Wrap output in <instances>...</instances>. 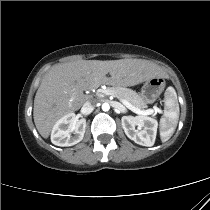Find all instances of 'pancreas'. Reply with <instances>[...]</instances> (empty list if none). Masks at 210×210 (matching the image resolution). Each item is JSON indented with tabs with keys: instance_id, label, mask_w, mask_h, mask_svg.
I'll return each instance as SVG.
<instances>
[{
	"instance_id": "1",
	"label": "pancreas",
	"mask_w": 210,
	"mask_h": 210,
	"mask_svg": "<svg viewBox=\"0 0 210 210\" xmlns=\"http://www.w3.org/2000/svg\"><path fill=\"white\" fill-rule=\"evenodd\" d=\"M107 90L111 91L113 95L127 100L129 103H131L134 107L138 108L139 110H143L144 108L147 107L146 103L142 100L141 96L129 88H125L122 86H113L109 87Z\"/></svg>"
}]
</instances>
